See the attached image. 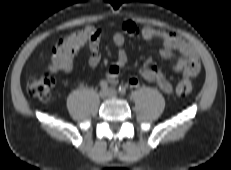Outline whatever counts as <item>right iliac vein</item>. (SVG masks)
<instances>
[{
  "label": "right iliac vein",
  "mask_w": 231,
  "mask_h": 170,
  "mask_svg": "<svg viewBox=\"0 0 231 170\" xmlns=\"http://www.w3.org/2000/svg\"><path fill=\"white\" fill-rule=\"evenodd\" d=\"M99 96L102 98V99H106L108 96H109V93L107 90L103 89L99 92Z\"/></svg>",
  "instance_id": "1"
}]
</instances>
